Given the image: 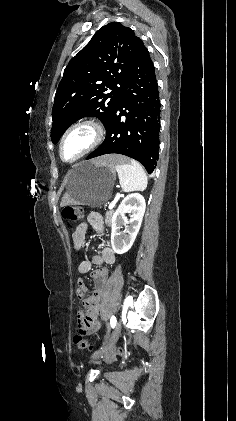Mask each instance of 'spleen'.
<instances>
[{
    "label": "spleen",
    "mask_w": 236,
    "mask_h": 421,
    "mask_svg": "<svg viewBox=\"0 0 236 421\" xmlns=\"http://www.w3.org/2000/svg\"><path fill=\"white\" fill-rule=\"evenodd\" d=\"M118 172L119 182L124 192H131V190H145L148 180L146 172L137 160H130V162H117L115 166Z\"/></svg>",
    "instance_id": "spleen-1"
}]
</instances>
